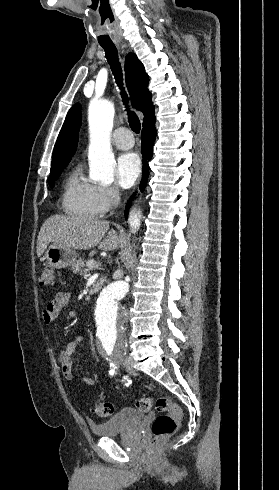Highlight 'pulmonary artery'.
I'll use <instances>...</instances> for the list:
<instances>
[{"label": "pulmonary artery", "instance_id": "obj_1", "mask_svg": "<svg viewBox=\"0 0 279 490\" xmlns=\"http://www.w3.org/2000/svg\"><path fill=\"white\" fill-rule=\"evenodd\" d=\"M129 130L128 128L121 127L117 128L115 131V136H117L114 140L115 146L120 150H128L132 146L136 145L135 137H128Z\"/></svg>", "mask_w": 279, "mask_h": 490}]
</instances>
